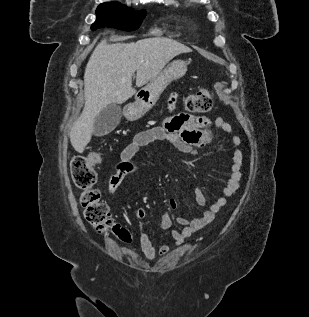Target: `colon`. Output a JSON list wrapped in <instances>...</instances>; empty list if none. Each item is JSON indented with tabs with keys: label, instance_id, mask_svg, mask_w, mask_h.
Listing matches in <instances>:
<instances>
[{
	"label": "colon",
	"instance_id": "5ec220e1",
	"mask_svg": "<svg viewBox=\"0 0 309 317\" xmlns=\"http://www.w3.org/2000/svg\"><path fill=\"white\" fill-rule=\"evenodd\" d=\"M185 105L191 112L205 113L212 108V97L206 89H200L186 98ZM99 161V154L92 152L88 156H78L71 162L73 182L82 190L80 201L84 217L99 233H111L128 242V232L114 222L108 206L101 201L100 191L94 187L97 180L94 166Z\"/></svg>",
	"mask_w": 309,
	"mask_h": 317
}]
</instances>
